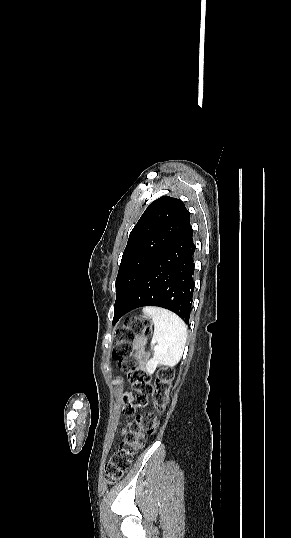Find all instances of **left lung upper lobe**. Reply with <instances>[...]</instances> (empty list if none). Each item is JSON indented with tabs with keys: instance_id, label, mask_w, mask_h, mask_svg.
Listing matches in <instances>:
<instances>
[{
	"instance_id": "left-lung-upper-lobe-1",
	"label": "left lung upper lobe",
	"mask_w": 291,
	"mask_h": 538,
	"mask_svg": "<svg viewBox=\"0 0 291 538\" xmlns=\"http://www.w3.org/2000/svg\"><path fill=\"white\" fill-rule=\"evenodd\" d=\"M190 213L176 198L153 201L132 229L116 278V307L125 306L145 273L171 242L190 225Z\"/></svg>"
}]
</instances>
